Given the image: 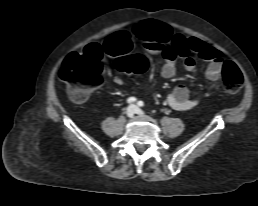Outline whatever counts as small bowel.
Listing matches in <instances>:
<instances>
[{"label": "small bowel", "mask_w": 258, "mask_h": 206, "mask_svg": "<svg viewBox=\"0 0 258 206\" xmlns=\"http://www.w3.org/2000/svg\"><path fill=\"white\" fill-rule=\"evenodd\" d=\"M161 27L163 29L157 32L154 37L143 39L142 43L149 53H159L164 57L165 63L162 66L161 75L164 78H171L176 74L178 57L182 58L184 69L191 72L196 67L195 57H198L209 61L206 76L216 83L213 87L216 88L224 64L222 52L200 39L174 33L165 25ZM132 43L131 34L116 32L110 35L102 46L91 44L85 49L95 46L110 57L119 58L131 49ZM113 82L120 85L123 80L121 77H115ZM166 102L174 110L187 111L196 107L200 103V98L191 99L188 88L184 85H178L167 95Z\"/></svg>", "instance_id": "c3829d8e"}]
</instances>
